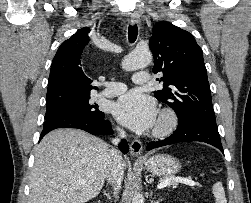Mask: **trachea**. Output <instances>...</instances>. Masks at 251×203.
Listing matches in <instances>:
<instances>
[{"label": "trachea", "instance_id": "obj_1", "mask_svg": "<svg viewBox=\"0 0 251 203\" xmlns=\"http://www.w3.org/2000/svg\"><path fill=\"white\" fill-rule=\"evenodd\" d=\"M138 27L137 25H129L128 28V39L130 43H134L137 39Z\"/></svg>", "mask_w": 251, "mask_h": 203}]
</instances>
